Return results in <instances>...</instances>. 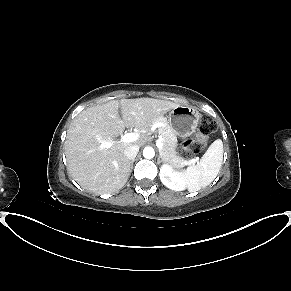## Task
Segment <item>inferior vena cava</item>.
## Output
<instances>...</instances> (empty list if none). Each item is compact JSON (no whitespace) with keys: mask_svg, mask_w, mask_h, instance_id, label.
<instances>
[{"mask_svg":"<svg viewBox=\"0 0 291 291\" xmlns=\"http://www.w3.org/2000/svg\"><path fill=\"white\" fill-rule=\"evenodd\" d=\"M139 151V146L138 145H130L125 148L124 150V155L126 156L127 159L133 160Z\"/></svg>","mask_w":291,"mask_h":291,"instance_id":"inferior-vena-cava-1","label":"inferior vena cava"}]
</instances>
